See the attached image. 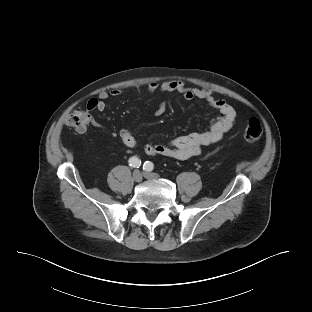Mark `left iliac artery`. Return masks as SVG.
Here are the masks:
<instances>
[{
    "label": "left iliac artery",
    "mask_w": 312,
    "mask_h": 312,
    "mask_svg": "<svg viewBox=\"0 0 312 312\" xmlns=\"http://www.w3.org/2000/svg\"><path fill=\"white\" fill-rule=\"evenodd\" d=\"M153 168H154V164H153L152 162H150V161H146V162L144 163V165H143V169H144L145 171H152Z\"/></svg>",
    "instance_id": "obj_1"
}]
</instances>
